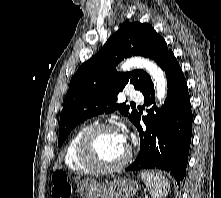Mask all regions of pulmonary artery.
Wrapping results in <instances>:
<instances>
[{
    "mask_svg": "<svg viewBox=\"0 0 221 198\" xmlns=\"http://www.w3.org/2000/svg\"><path fill=\"white\" fill-rule=\"evenodd\" d=\"M129 96L132 100L141 101L143 99V94L136 90H131Z\"/></svg>",
    "mask_w": 221,
    "mask_h": 198,
    "instance_id": "obj_1",
    "label": "pulmonary artery"
}]
</instances>
